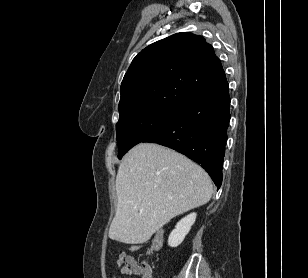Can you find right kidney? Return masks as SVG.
<instances>
[{"mask_svg":"<svg viewBox=\"0 0 308 278\" xmlns=\"http://www.w3.org/2000/svg\"><path fill=\"white\" fill-rule=\"evenodd\" d=\"M196 220V213H191L188 216L181 219L175 229L170 233L168 238V245L170 247H177L179 246L185 236L189 233L191 226L194 224Z\"/></svg>","mask_w":308,"mask_h":278,"instance_id":"right-kidney-1","label":"right kidney"}]
</instances>
